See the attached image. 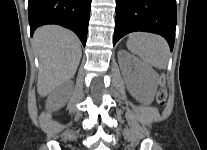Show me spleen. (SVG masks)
I'll return each instance as SVG.
<instances>
[{
	"label": "spleen",
	"mask_w": 207,
	"mask_h": 150,
	"mask_svg": "<svg viewBox=\"0 0 207 150\" xmlns=\"http://www.w3.org/2000/svg\"><path fill=\"white\" fill-rule=\"evenodd\" d=\"M127 48L146 64L165 69L169 60V46L164 38L156 34L137 32L129 37Z\"/></svg>",
	"instance_id": "obj_1"
}]
</instances>
